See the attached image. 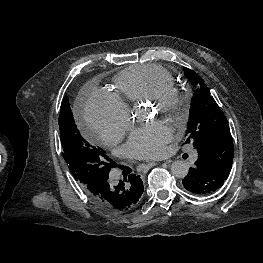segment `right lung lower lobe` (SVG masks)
<instances>
[{"label": "right lung lower lobe", "instance_id": "98d812e1", "mask_svg": "<svg viewBox=\"0 0 263 263\" xmlns=\"http://www.w3.org/2000/svg\"><path fill=\"white\" fill-rule=\"evenodd\" d=\"M108 178L91 182L83 187L91 203L106 212L112 213L114 210L124 206L127 201H130V195L133 190L136 187L143 186L140 176L135 174L129 175L116 186H113Z\"/></svg>", "mask_w": 263, "mask_h": 263}]
</instances>
